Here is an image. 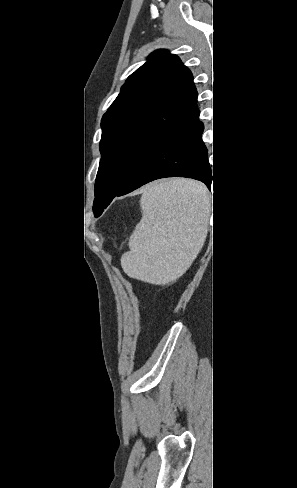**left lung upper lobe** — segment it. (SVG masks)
<instances>
[{
    "instance_id": "left-lung-upper-lobe-1",
    "label": "left lung upper lobe",
    "mask_w": 297,
    "mask_h": 488,
    "mask_svg": "<svg viewBox=\"0 0 297 488\" xmlns=\"http://www.w3.org/2000/svg\"><path fill=\"white\" fill-rule=\"evenodd\" d=\"M190 70L157 50L132 73L101 120L95 216L172 135L199 116Z\"/></svg>"
}]
</instances>
